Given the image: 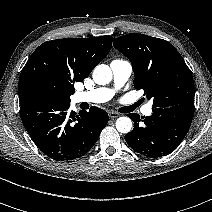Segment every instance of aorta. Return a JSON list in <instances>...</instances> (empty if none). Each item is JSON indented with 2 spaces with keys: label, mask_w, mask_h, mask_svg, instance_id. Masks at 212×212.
Listing matches in <instances>:
<instances>
[{
  "label": "aorta",
  "mask_w": 212,
  "mask_h": 212,
  "mask_svg": "<svg viewBox=\"0 0 212 212\" xmlns=\"http://www.w3.org/2000/svg\"><path fill=\"white\" fill-rule=\"evenodd\" d=\"M93 80L96 84L106 85L112 80V71L108 65L99 64L93 70ZM116 129L120 133H129L132 129V120L129 117H119L116 120Z\"/></svg>",
  "instance_id": "aorta-1"
}]
</instances>
